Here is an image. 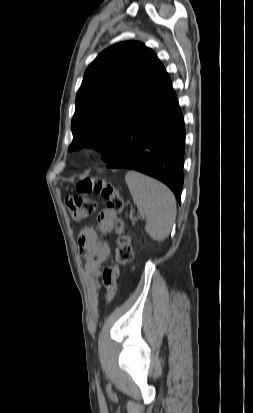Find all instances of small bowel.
<instances>
[{
	"instance_id": "obj_1",
	"label": "small bowel",
	"mask_w": 253,
	"mask_h": 413,
	"mask_svg": "<svg viewBox=\"0 0 253 413\" xmlns=\"http://www.w3.org/2000/svg\"><path fill=\"white\" fill-rule=\"evenodd\" d=\"M97 221V226H85L81 229L78 246L86 259V271L106 284V302L110 303L118 293L116 285L118 271L114 267L102 268L103 263L110 256L111 247L107 240L99 238V234H109L113 231L115 215L106 208L99 213Z\"/></svg>"
}]
</instances>
